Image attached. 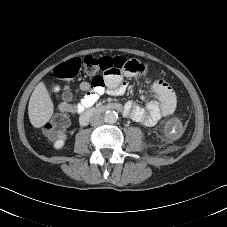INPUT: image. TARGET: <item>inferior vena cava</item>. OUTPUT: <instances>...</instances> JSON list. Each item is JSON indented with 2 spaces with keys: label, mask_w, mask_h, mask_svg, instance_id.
<instances>
[{
  "label": "inferior vena cava",
  "mask_w": 227,
  "mask_h": 227,
  "mask_svg": "<svg viewBox=\"0 0 227 227\" xmlns=\"http://www.w3.org/2000/svg\"><path fill=\"white\" fill-rule=\"evenodd\" d=\"M104 122V118L101 114H95L90 118V124L92 126H100Z\"/></svg>",
  "instance_id": "inferior-vena-cava-1"
}]
</instances>
